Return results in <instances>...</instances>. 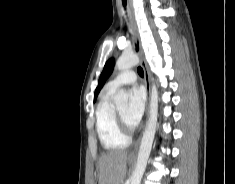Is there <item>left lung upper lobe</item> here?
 I'll return each instance as SVG.
<instances>
[{
    "label": "left lung upper lobe",
    "instance_id": "1",
    "mask_svg": "<svg viewBox=\"0 0 235 184\" xmlns=\"http://www.w3.org/2000/svg\"><path fill=\"white\" fill-rule=\"evenodd\" d=\"M115 64V60L113 58L109 59L105 66L104 69L100 75L99 81H98V86L95 90V94H94V101L97 98V95L99 93V91L101 90V88L103 87V85L105 84L106 80L109 78V76L111 75L112 71H113V67Z\"/></svg>",
    "mask_w": 235,
    "mask_h": 184
}]
</instances>
